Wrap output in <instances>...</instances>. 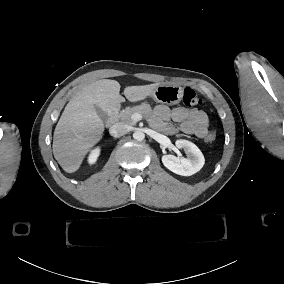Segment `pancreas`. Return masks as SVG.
Returning a JSON list of instances; mask_svg holds the SVG:
<instances>
[{
  "instance_id": "pancreas-1",
  "label": "pancreas",
  "mask_w": 284,
  "mask_h": 284,
  "mask_svg": "<svg viewBox=\"0 0 284 284\" xmlns=\"http://www.w3.org/2000/svg\"><path fill=\"white\" fill-rule=\"evenodd\" d=\"M139 113L144 118H149L152 115V109L149 104L143 103L139 106L132 108H126L119 113V118L129 125H135V122L131 119L132 114Z\"/></svg>"
}]
</instances>
